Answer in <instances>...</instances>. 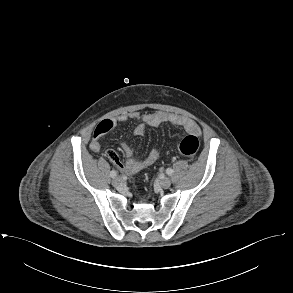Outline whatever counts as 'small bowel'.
<instances>
[{
	"mask_svg": "<svg viewBox=\"0 0 293 293\" xmlns=\"http://www.w3.org/2000/svg\"><path fill=\"white\" fill-rule=\"evenodd\" d=\"M141 119V123L137 125L134 130V135L142 136L145 133L146 127H158L164 123H169L174 126L183 128L187 133L192 135H200L201 129L199 125L192 119L178 114L167 113L163 111H157L154 113L144 114L140 117L139 113H123L115 117L103 119L95 128L93 138L90 142V148L94 152L100 151V138L114 129L118 124L127 122L130 119ZM121 148L127 157L125 163H123L118 154L113 150H107L105 156L110 160L117 168L125 171L127 174H135L142 169H145L156 162L159 157L157 149L153 148L149 151L147 156L138 160L133 156V149L127 144L122 143Z\"/></svg>",
	"mask_w": 293,
	"mask_h": 293,
	"instance_id": "c3829d8e",
	"label": "small bowel"
}]
</instances>
